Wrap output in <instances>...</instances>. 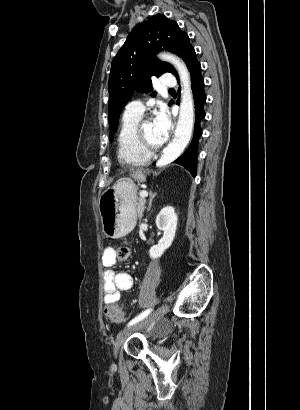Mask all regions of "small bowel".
<instances>
[{"instance_id": "1", "label": "small bowel", "mask_w": 300, "mask_h": 410, "mask_svg": "<svg viewBox=\"0 0 300 410\" xmlns=\"http://www.w3.org/2000/svg\"><path fill=\"white\" fill-rule=\"evenodd\" d=\"M104 288V302L106 304L117 301L120 293L129 291L133 288V277L126 272H116L114 270L115 256L113 247L105 248L101 256Z\"/></svg>"}]
</instances>
